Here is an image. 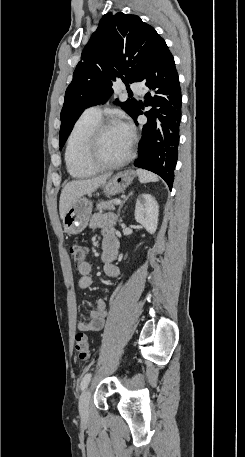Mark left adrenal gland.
Wrapping results in <instances>:
<instances>
[{
	"label": "left adrenal gland",
	"instance_id": "obj_1",
	"mask_svg": "<svg viewBox=\"0 0 245 457\" xmlns=\"http://www.w3.org/2000/svg\"><path fill=\"white\" fill-rule=\"evenodd\" d=\"M131 194H133V190H131V192H129V194H127L126 198H124V200H122L118 210H117V216H120V208H122L124 202H126V200H128L129 196H131Z\"/></svg>",
	"mask_w": 245,
	"mask_h": 457
}]
</instances>
